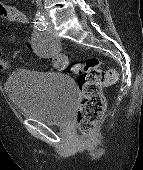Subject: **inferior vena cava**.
Listing matches in <instances>:
<instances>
[{
	"label": "inferior vena cava",
	"mask_w": 143,
	"mask_h": 170,
	"mask_svg": "<svg viewBox=\"0 0 143 170\" xmlns=\"http://www.w3.org/2000/svg\"><path fill=\"white\" fill-rule=\"evenodd\" d=\"M39 5H41V0H38Z\"/></svg>",
	"instance_id": "1"
}]
</instances>
